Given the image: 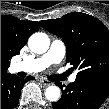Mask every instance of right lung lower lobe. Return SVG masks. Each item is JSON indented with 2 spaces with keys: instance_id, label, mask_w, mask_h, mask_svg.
I'll return each instance as SVG.
<instances>
[{
  "instance_id": "98d812e1",
  "label": "right lung lower lobe",
  "mask_w": 109,
  "mask_h": 109,
  "mask_svg": "<svg viewBox=\"0 0 109 109\" xmlns=\"http://www.w3.org/2000/svg\"><path fill=\"white\" fill-rule=\"evenodd\" d=\"M29 79H34V77L29 76L27 79H22L9 73L1 75V109L15 108L22 86Z\"/></svg>"
}]
</instances>
